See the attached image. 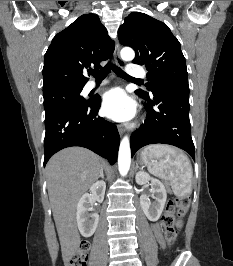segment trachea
I'll use <instances>...</instances> for the list:
<instances>
[{
  "label": "trachea",
  "instance_id": "1",
  "mask_svg": "<svg viewBox=\"0 0 233 266\" xmlns=\"http://www.w3.org/2000/svg\"><path fill=\"white\" fill-rule=\"evenodd\" d=\"M111 69L121 78L140 81L139 79H135L127 75L121 68L117 67L115 64L108 62L102 69L99 71H92L91 74L96 79H103L105 78Z\"/></svg>",
  "mask_w": 233,
  "mask_h": 266
}]
</instances>
